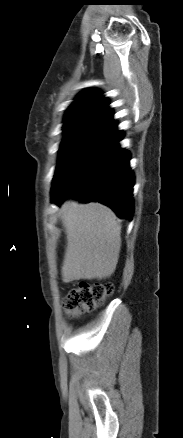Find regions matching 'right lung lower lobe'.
<instances>
[{
	"label": "right lung lower lobe",
	"instance_id": "98d812e1",
	"mask_svg": "<svg viewBox=\"0 0 183 438\" xmlns=\"http://www.w3.org/2000/svg\"><path fill=\"white\" fill-rule=\"evenodd\" d=\"M116 122L102 127L54 179L52 201L71 197L81 202L98 201L118 217L132 219L134 174L130 154L119 147L123 138Z\"/></svg>",
	"mask_w": 183,
	"mask_h": 438
}]
</instances>
